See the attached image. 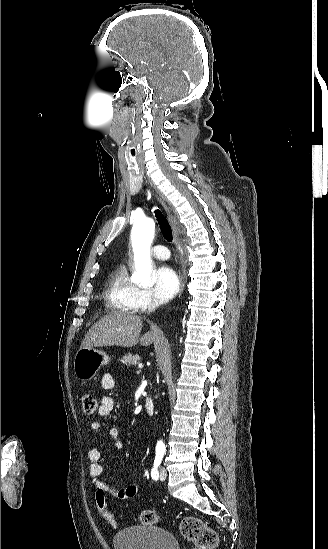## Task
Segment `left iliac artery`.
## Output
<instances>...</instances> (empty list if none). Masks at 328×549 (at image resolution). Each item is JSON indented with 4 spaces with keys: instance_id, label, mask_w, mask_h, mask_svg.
<instances>
[{
    "instance_id": "44dca946",
    "label": "left iliac artery",
    "mask_w": 328,
    "mask_h": 549,
    "mask_svg": "<svg viewBox=\"0 0 328 549\" xmlns=\"http://www.w3.org/2000/svg\"><path fill=\"white\" fill-rule=\"evenodd\" d=\"M161 462H162V457L159 455H156L154 460V465L151 471V477L154 480H158L159 478L158 467L160 466Z\"/></svg>"
}]
</instances>
